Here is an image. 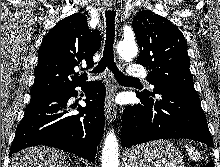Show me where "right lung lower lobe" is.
Masks as SVG:
<instances>
[{
    "label": "right lung lower lobe",
    "mask_w": 220,
    "mask_h": 167,
    "mask_svg": "<svg viewBox=\"0 0 220 167\" xmlns=\"http://www.w3.org/2000/svg\"><path fill=\"white\" fill-rule=\"evenodd\" d=\"M87 85L84 82L66 89L32 95L17 127L11 154L26 147L45 145L94 162L97 145L104 132L105 86L98 82L97 86L90 88L85 99L87 106H78L79 114H70L73 105L67 104L69 98L77 96L76 86Z\"/></svg>",
    "instance_id": "1"
}]
</instances>
